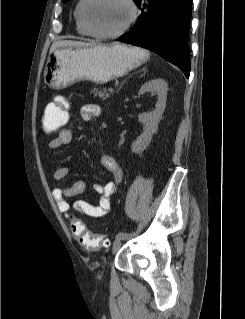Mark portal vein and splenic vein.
Segmentation results:
<instances>
[{"mask_svg":"<svg viewBox=\"0 0 245 319\" xmlns=\"http://www.w3.org/2000/svg\"><path fill=\"white\" fill-rule=\"evenodd\" d=\"M109 92H113L114 91V88L113 87H109Z\"/></svg>","mask_w":245,"mask_h":319,"instance_id":"1","label":"portal vein and splenic vein"}]
</instances>
